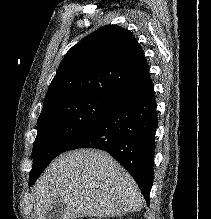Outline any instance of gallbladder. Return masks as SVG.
<instances>
[{
  "instance_id": "1",
  "label": "gallbladder",
  "mask_w": 211,
  "mask_h": 219,
  "mask_svg": "<svg viewBox=\"0 0 211 219\" xmlns=\"http://www.w3.org/2000/svg\"><path fill=\"white\" fill-rule=\"evenodd\" d=\"M65 204L63 202H54L47 210L45 219H63Z\"/></svg>"
}]
</instances>
